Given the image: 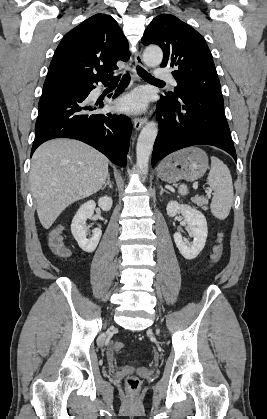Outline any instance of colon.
<instances>
[{"instance_id": "1", "label": "colon", "mask_w": 267, "mask_h": 419, "mask_svg": "<svg viewBox=\"0 0 267 419\" xmlns=\"http://www.w3.org/2000/svg\"><path fill=\"white\" fill-rule=\"evenodd\" d=\"M223 233L218 235L217 243L213 248V253L211 255L212 263H217L222 257L223 253ZM49 246L54 254L61 258H65L69 255V250L63 242V236L60 228L53 230L49 237ZM125 345L121 341H117L113 344V350L115 352H121L124 349ZM127 386L130 390L135 391L139 387V380L134 376H130L126 380Z\"/></svg>"}]
</instances>
